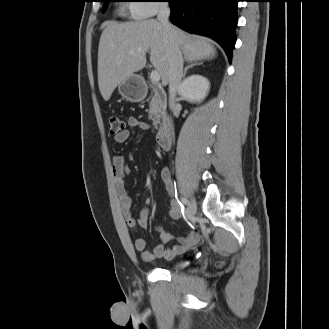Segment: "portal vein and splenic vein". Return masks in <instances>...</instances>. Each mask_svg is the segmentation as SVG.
<instances>
[{
    "instance_id": "1",
    "label": "portal vein and splenic vein",
    "mask_w": 329,
    "mask_h": 329,
    "mask_svg": "<svg viewBox=\"0 0 329 329\" xmlns=\"http://www.w3.org/2000/svg\"><path fill=\"white\" fill-rule=\"evenodd\" d=\"M151 82L157 84L160 81V74L157 70H152L150 74Z\"/></svg>"
}]
</instances>
